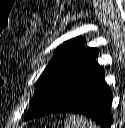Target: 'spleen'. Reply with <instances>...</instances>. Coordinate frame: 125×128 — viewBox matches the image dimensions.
Here are the masks:
<instances>
[{
    "mask_svg": "<svg viewBox=\"0 0 125 128\" xmlns=\"http://www.w3.org/2000/svg\"><path fill=\"white\" fill-rule=\"evenodd\" d=\"M65 128H99L98 125L90 119L82 116L71 115L64 121Z\"/></svg>",
    "mask_w": 125,
    "mask_h": 128,
    "instance_id": "spleen-1",
    "label": "spleen"
}]
</instances>
